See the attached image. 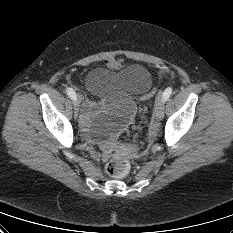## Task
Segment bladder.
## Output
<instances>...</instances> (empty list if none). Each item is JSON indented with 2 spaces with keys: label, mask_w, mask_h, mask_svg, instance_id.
I'll use <instances>...</instances> for the list:
<instances>
[{
  "label": "bladder",
  "mask_w": 233,
  "mask_h": 233,
  "mask_svg": "<svg viewBox=\"0 0 233 233\" xmlns=\"http://www.w3.org/2000/svg\"><path fill=\"white\" fill-rule=\"evenodd\" d=\"M89 92L98 96L116 95L118 99L99 105L100 113L92 118L95 108L84 118L87 134L94 140H104L126 127L135 113L131 97L147 94L152 87L150 72L140 64L115 70L98 67L85 77Z\"/></svg>",
  "instance_id": "1"
}]
</instances>
